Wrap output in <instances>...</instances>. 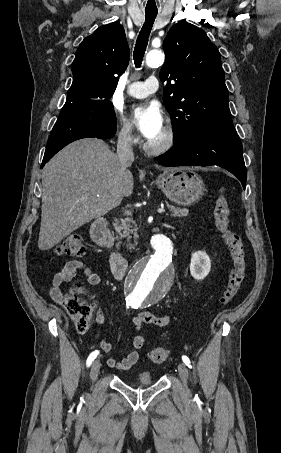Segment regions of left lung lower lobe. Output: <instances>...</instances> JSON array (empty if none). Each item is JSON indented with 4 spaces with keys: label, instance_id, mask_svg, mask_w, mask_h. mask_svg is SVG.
<instances>
[{
    "label": "left lung lower lobe",
    "instance_id": "1",
    "mask_svg": "<svg viewBox=\"0 0 281 453\" xmlns=\"http://www.w3.org/2000/svg\"><path fill=\"white\" fill-rule=\"evenodd\" d=\"M164 166L217 165L234 174L245 189L247 173L240 138L234 126L205 132L175 144L159 156Z\"/></svg>",
    "mask_w": 281,
    "mask_h": 453
}]
</instances>
